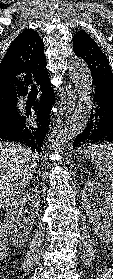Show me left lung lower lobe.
<instances>
[{
	"label": "left lung lower lobe",
	"instance_id": "obj_1",
	"mask_svg": "<svg viewBox=\"0 0 113 279\" xmlns=\"http://www.w3.org/2000/svg\"><path fill=\"white\" fill-rule=\"evenodd\" d=\"M94 105L85 129L73 142V148L86 143H113V85L93 79Z\"/></svg>",
	"mask_w": 113,
	"mask_h": 279
}]
</instances>
